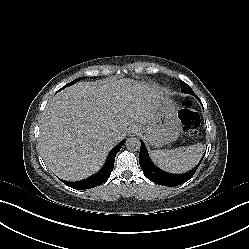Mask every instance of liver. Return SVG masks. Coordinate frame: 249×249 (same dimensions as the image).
<instances>
[{"label": "liver", "mask_w": 249, "mask_h": 249, "mask_svg": "<svg viewBox=\"0 0 249 249\" xmlns=\"http://www.w3.org/2000/svg\"><path fill=\"white\" fill-rule=\"evenodd\" d=\"M48 106L40 124L38 147L51 171L82 180L98 172L127 126L150 123L158 87L121 79L79 83Z\"/></svg>", "instance_id": "liver-1"}]
</instances>
